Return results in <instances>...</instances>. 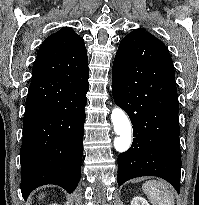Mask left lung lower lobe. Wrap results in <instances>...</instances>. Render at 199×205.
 Here are the masks:
<instances>
[{"label":"left lung lower lobe","instance_id":"1","mask_svg":"<svg viewBox=\"0 0 199 205\" xmlns=\"http://www.w3.org/2000/svg\"><path fill=\"white\" fill-rule=\"evenodd\" d=\"M115 103L133 125V143L118 156L117 182L158 176L179 193L181 150L175 71L165 45L141 30L125 36L112 69Z\"/></svg>","mask_w":199,"mask_h":205}]
</instances>
